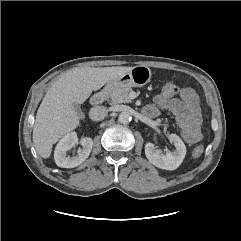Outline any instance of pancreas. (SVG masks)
<instances>
[{
  "label": "pancreas",
  "instance_id": "1",
  "mask_svg": "<svg viewBox=\"0 0 241 241\" xmlns=\"http://www.w3.org/2000/svg\"><path fill=\"white\" fill-rule=\"evenodd\" d=\"M132 91L130 86L121 87L113 90L108 98L110 99V104L115 105L119 103H130L131 99L129 98V92Z\"/></svg>",
  "mask_w": 241,
  "mask_h": 241
}]
</instances>
